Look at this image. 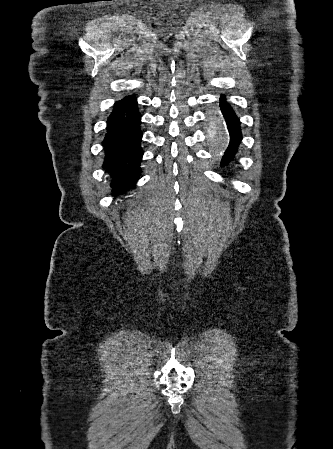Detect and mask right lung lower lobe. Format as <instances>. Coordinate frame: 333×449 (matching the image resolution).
<instances>
[{
    "instance_id": "98d812e1",
    "label": "right lung lower lobe",
    "mask_w": 333,
    "mask_h": 449,
    "mask_svg": "<svg viewBox=\"0 0 333 449\" xmlns=\"http://www.w3.org/2000/svg\"><path fill=\"white\" fill-rule=\"evenodd\" d=\"M140 123L141 115L133 95L117 102L107 120L102 143L106 155L103 168L112 177L113 195L129 190L139 178L143 155Z\"/></svg>"
}]
</instances>
